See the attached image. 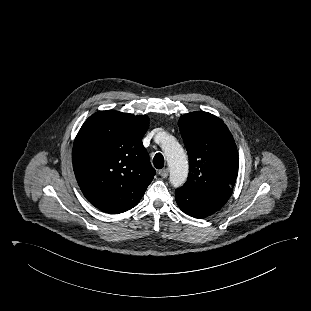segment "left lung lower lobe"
<instances>
[{
    "label": "left lung lower lobe",
    "instance_id": "obj_1",
    "mask_svg": "<svg viewBox=\"0 0 311 311\" xmlns=\"http://www.w3.org/2000/svg\"><path fill=\"white\" fill-rule=\"evenodd\" d=\"M179 208L194 218H205L220 210L225 203L196 195L186 189L178 188L175 192Z\"/></svg>",
    "mask_w": 311,
    "mask_h": 311
}]
</instances>
